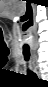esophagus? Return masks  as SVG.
<instances>
[{"instance_id": "1", "label": "esophagus", "mask_w": 48, "mask_h": 87, "mask_svg": "<svg viewBox=\"0 0 48 87\" xmlns=\"http://www.w3.org/2000/svg\"><path fill=\"white\" fill-rule=\"evenodd\" d=\"M33 66H34V69H35L37 75L40 76V72H39V69H38V63H37V59H36L35 55H33Z\"/></svg>"}]
</instances>
